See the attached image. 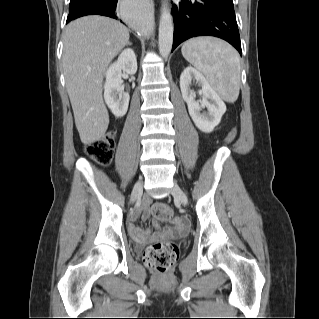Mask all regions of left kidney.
<instances>
[{
    "mask_svg": "<svg viewBox=\"0 0 319 319\" xmlns=\"http://www.w3.org/2000/svg\"><path fill=\"white\" fill-rule=\"evenodd\" d=\"M196 81L201 87L202 100H196L195 92L191 89V82ZM180 88L184 101L188 105L189 114L201 131L210 133L220 123L226 112V105L219 95L212 89L205 77L195 68L188 66L180 76ZM202 108L207 111L201 113Z\"/></svg>",
    "mask_w": 319,
    "mask_h": 319,
    "instance_id": "5707ae66",
    "label": "left kidney"
}]
</instances>
